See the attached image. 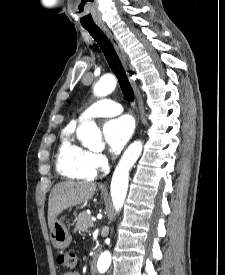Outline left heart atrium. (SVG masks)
I'll return each mask as SVG.
<instances>
[{
  "mask_svg": "<svg viewBox=\"0 0 225 275\" xmlns=\"http://www.w3.org/2000/svg\"><path fill=\"white\" fill-rule=\"evenodd\" d=\"M133 122L128 116L109 120L103 128L105 140L113 154L118 153L128 142L133 133Z\"/></svg>",
  "mask_w": 225,
  "mask_h": 275,
  "instance_id": "obj_1",
  "label": "left heart atrium"
}]
</instances>
